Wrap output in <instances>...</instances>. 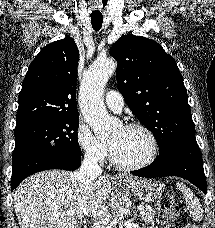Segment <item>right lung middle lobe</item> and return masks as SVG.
Wrapping results in <instances>:
<instances>
[{"label": "right lung middle lobe", "instance_id": "right-lung-middle-lobe-1", "mask_svg": "<svg viewBox=\"0 0 215 228\" xmlns=\"http://www.w3.org/2000/svg\"><path fill=\"white\" fill-rule=\"evenodd\" d=\"M78 119L79 116L39 118L16 124L13 161L48 150L81 155L77 139Z\"/></svg>", "mask_w": 215, "mask_h": 228}]
</instances>
